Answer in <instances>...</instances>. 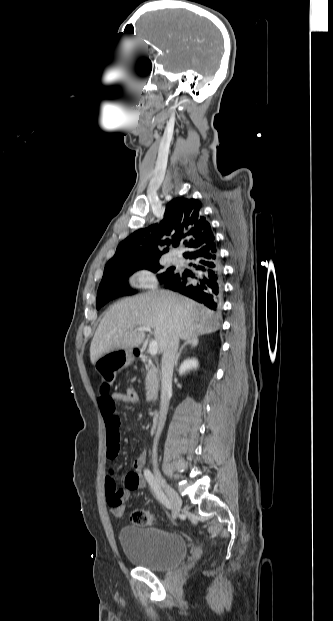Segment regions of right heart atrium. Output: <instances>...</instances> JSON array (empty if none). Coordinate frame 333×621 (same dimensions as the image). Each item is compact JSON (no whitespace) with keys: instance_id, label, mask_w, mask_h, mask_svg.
Masks as SVG:
<instances>
[{"instance_id":"obj_1","label":"right heart atrium","mask_w":333,"mask_h":621,"mask_svg":"<svg viewBox=\"0 0 333 621\" xmlns=\"http://www.w3.org/2000/svg\"><path fill=\"white\" fill-rule=\"evenodd\" d=\"M131 285L135 288L151 289L157 285V279L151 270L140 269L133 274Z\"/></svg>"}]
</instances>
